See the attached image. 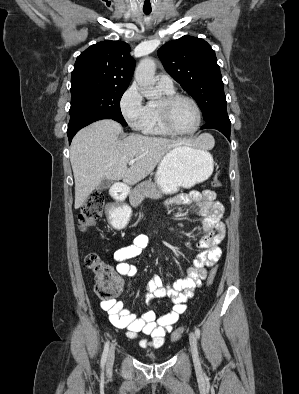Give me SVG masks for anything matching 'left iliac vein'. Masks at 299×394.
<instances>
[{
  "instance_id": "1",
  "label": "left iliac vein",
  "mask_w": 299,
  "mask_h": 394,
  "mask_svg": "<svg viewBox=\"0 0 299 394\" xmlns=\"http://www.w3.org/2000/svg\"><path fill=\"white\" fill-rule=\"evenodd\" d=\"M189 342H190V349L192 353L193 362L195 365L199 364V356H198V349H197V339L196 335L191 332L189 334Z\"/></svg>"
}]
</instances>
